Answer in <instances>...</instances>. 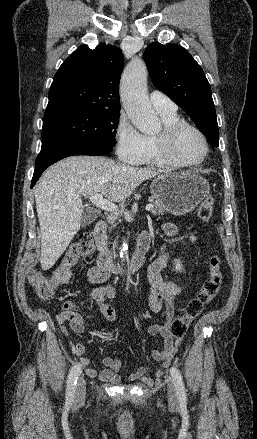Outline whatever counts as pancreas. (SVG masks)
<instances>
[{
    "instance_id": "1",
    "label": "pancreas",
    "mask_w": 257,
    "mask_h": 439,
    "mask_svg": "<svg viewBox=\"0 0 257 439\" xmlns=\"http://www.w3.org/2000/svg\"><path fill=\"white\" fill-rule=\"evenodd\" d=\"M150 201L154 204L155 208L152 210V214L157 216V215H161L164 214L168 211L167 207L163 204V202L152 196L150 197ZM116 245V243H114V246Z\"/></svg>"
}]
</instances>
